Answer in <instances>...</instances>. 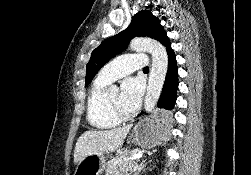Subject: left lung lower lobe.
<instances>
[{"label":"left lung lower lobe","instance_id":"left-lung-lower-lobe-1","mask_svg":"<svg viewBox=\"0 0 251 175\" xmlns=\"http://www.w3.org/2000/svg\"><path fill=\"white\" fill-rule=\"evenodd\" d=\"M159 42L166 47L168 54V71L164 82V87L160 95L157 106L163 110L155 113L153 121L156 123H167L173 119V115L168 110H172L176 101L178 89L176 57L171 48V43L167 35H164Z\"/></svg>","mask_w":251,"mask_h":175}]
</instances>
